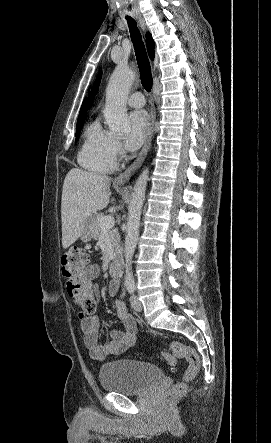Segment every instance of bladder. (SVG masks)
<instances>
[{
  "label": "bladder",
  "mask_w": 271,
  "mask_h": 443,
  "mask_svg": "<svg viewBox=\"0 0 271 443\" xmlns=\"http://www.w3.org/2000/svg\"><path fill=\"white\" fill-rule=\"evenodd\" d=\"M163 371L152 364L131 359H117L103 364L99 381L108 392L132 395L146 391L163 380Z\"/></svg>",
  "instance_id": "31cf9c89"
}]
</instances>
